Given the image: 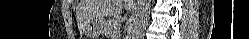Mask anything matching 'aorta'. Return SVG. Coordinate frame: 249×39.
<instances>
[{"instance_id":"762f6f07","label":"aorta","mask_w":249,"mask_h":39,"mask_svg":"<svg viewBox=\"0 0 249 39\" xmlns=\"http://www.w3.org/2000/svg\"><path fill=\"white\" fill-rule=\"evenodd\" d=\"M151 0H138L137 14L134 21L133 37L139 39L146 26Z\"/></svg>"}]
</instances>
